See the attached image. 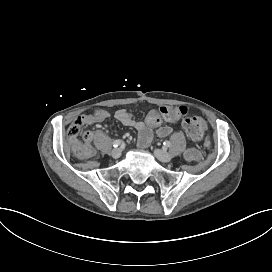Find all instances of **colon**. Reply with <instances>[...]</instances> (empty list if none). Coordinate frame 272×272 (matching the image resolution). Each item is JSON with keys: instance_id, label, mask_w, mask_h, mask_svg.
Masks as SVG:
<instances>
[{"instance_id": "1", "label": "colon", "mask_w": 272, "mask_h": 272, "mask_svg": "<svg viewBox=\"0 0 272 272\" xmlns=\"http://www.w3.org/2000/svg\"><path fill=\"white\" fill-rule=\"evenodd\" d=\"M179 111L182 115H185L187 113V107L186 106H180ZM81 125V122L76 121L71 126V128L68 131L69 136L75 137L79 133V126ZM183 127L189 137L194 141H199L203 137L204 130H205V119L201 117H186L183 120ZM84 137L88 140V134H84Z\"/></svg>"}]
</instances>
